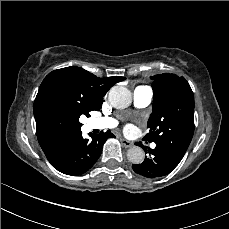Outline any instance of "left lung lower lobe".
<instances>
[{"mask_svg": "<svg viewBox=\"0 0 229 229\" xmlns=\"http://www.w3.org/2000/svg\"><path fill=\"white\" fill-rule=\"evenodd\" d=\"M137 145L144 147L141 142ZM148 153L150 157H145L141 164L132 165L133 170L147 178H157L169 174L179 164L181 159L173 156L167 147L157 145L154 149H150Z\"/></svg>", "mask_w": 229, "mask_h": 229, "instance_id": "obj_1", "label": "left lung lower lobe"}]
</instances>
